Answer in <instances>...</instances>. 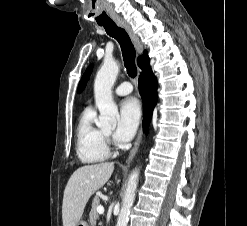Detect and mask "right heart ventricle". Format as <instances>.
Listing matches in <instances>:
<instances>
[{"label":"right heart ventricle","instance_id":"e07e8e85","mask_svg":"<svg viewBox=\"0 0 247 226\" xmlns=\"http://www.w3.org/2000/svg\"><path fill=\"white\" fill-rule=\"evenodd\" d=\"M76 152L85 164L98 163L109 156L105 133L95 125V112L90 107L83 111L77 126Z\"/></svg>","mask_w":247,"mask_h":226}]
</instances>
